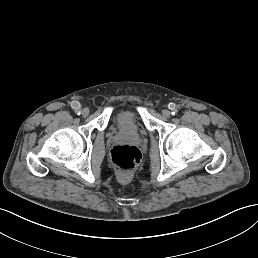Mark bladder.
I'll return each mask as SVG.
<instances>
[{
	"label": "bladder",
	"mask_w": 258,
	"mask_h": 258,
	"mask_svg": "<svg viewBox=\"0 0 258 258\" xmlns=\"http://www.w3.org/2000/svg\"><path fill=\"white\" fill-rule=\"evenodd\" d=\"M131 116H133V115L132 114H125V115H123L124 118H128V117H131ZM125 129L127 131H129V132H135L136 131V127L131 126V125H126Z\"/></svg>",
	"instance_id": "1"
}]
</instances>
